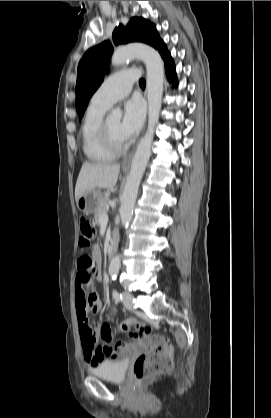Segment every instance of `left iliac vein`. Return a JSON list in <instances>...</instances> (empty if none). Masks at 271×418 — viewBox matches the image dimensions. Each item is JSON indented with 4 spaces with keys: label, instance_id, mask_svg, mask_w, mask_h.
Instances as JSON below:
<instances>
[{
    "label": "left iliac vein",
    "instance_id": "4c4485c4",
    "mask_svg": "<svg viewBox=\"0 0 271 418\" xmlns=\"http://www.w3.org/2000/svg\"><path fill=\"white\" fill-rule=\"evenodd\" d=\"M133 295L130 292H123V304L127 309H132L133 305H132V300H133Z\"/></svg>",
    "mask_w": 271,
    "mask_h": 418
}]
</instances>
